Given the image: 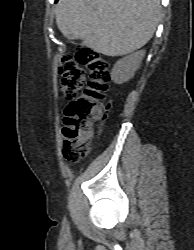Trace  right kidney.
<instances>
[{"instance_id": "right-kidney-1", "label": "right kidney", "mask_w": 194, "mask_h": 250, "mask_svg": "<svg viewBox=\"0 0 194 250\" xmlns=\"http://www.w3.org/2000/svg\"><path fill=\"white\" fill-rule=\"evenodd\" d=\"M145 56V51L141 50L118 60L111 72V79L116 84H123L129 81L140 67Z\"/></svg>"}]
</instances>
